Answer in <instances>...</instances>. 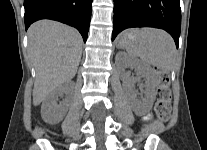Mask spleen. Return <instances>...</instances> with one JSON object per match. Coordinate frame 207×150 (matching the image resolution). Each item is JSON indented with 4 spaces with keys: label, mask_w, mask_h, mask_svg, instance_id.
I'll return each mask as SVG.
<instances>
[{
    "label": "spleen",
    "mask_w": 207,
    "mask_h": 150,
    "mask_svg": "<svg viewBox=\"0 0 207 150\" xmlns=\"http://www.w3.org/2000/svg\"><path fill=\"white\" fill-rule=\"evenodd\" d=\"M137 40L126 47L129 56L139 57L144 63L153 65L169 73L176 59V47L173 38L164 30L144 28L137 33Z\"/></svg>",
    "instance_id": "1"
}]
</instances>
